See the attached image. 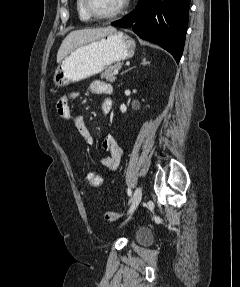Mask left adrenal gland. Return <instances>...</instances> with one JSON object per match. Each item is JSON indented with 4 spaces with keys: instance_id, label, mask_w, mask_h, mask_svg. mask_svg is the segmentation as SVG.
Listing matches in <instances>:
<instances>
[{
    "instance_id": "a2214340",
    "label": "left adrenal gland",
    "mask_w": 240,
    "mask_h": 287,
    "mask_svg": "<svg viewBox=\"0 0 240 287\" xmlns=\"http://www.w3.org/2000/svg\"><path fill=\"white\" fill-rule=\"evenodd\" d=\"M141 64H142V65H147V64H149V62L147 61L146 58H142ZM132 68H133V67H132ZM132 68H131V69H132ZM127 71H128V70H127ZM127 71H125L124 73H126Z\"/></svg>"
}]
</instances>
